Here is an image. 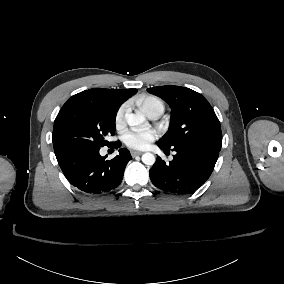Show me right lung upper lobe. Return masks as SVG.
<instances>
[{"instance_id":"obj_1","label":"right lung upper lobe","mask_w":284,"mask_h":284,"mask_svg":"<svg viewBox=\"0 0 284 284\" xmlns=\"http://www.w3.org/2000/svg\"><path fill=\"white\" fill-rule=\"evenodd\" d=\"M137 89H102L92 88L78 93L79 95H87L96 98L105 103L110 109L117 110L123 102L133 96Z\"/></svg>"}]
</instances>
